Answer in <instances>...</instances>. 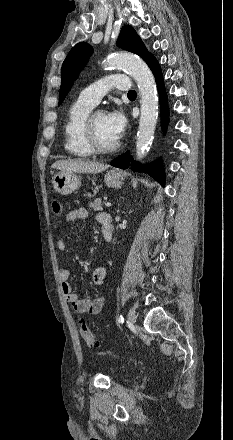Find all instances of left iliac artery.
<instances>
[{
	"mask_svg": "<svg viewBox=\"0 0 233 440\" xmlns=\"http://www.w3.org/2000/svg\"><path fill=\"white\" fill-rule=\"evenodd\" d=\"M118 322H119V323H123V322H124V318H123L122 315L118 318Z\"/></svg>",
	"mask_w": 233,
	"mask_h": 440,
	"instance_id": "1",
	"label": "left iliac artery"
}]
</instances>
